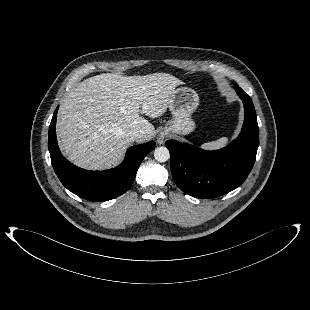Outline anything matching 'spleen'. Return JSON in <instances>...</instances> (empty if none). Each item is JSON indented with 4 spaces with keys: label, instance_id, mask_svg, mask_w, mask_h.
Returning a JSON list of instances; mask_svg holds the SVG:
<instances>
[{
    "label": "spleen",
    "instance_id": "3e777b00",
    "mask_svg": "<svg viewBox=\"0 0 310 310\" xmlns=\"http://www.w3.org/2000/svg\"><path fill=\"white\" fill-rule=\"evenodd\" d=\"M228 143L227 137H222L216 141L208 142L202 145L204 149H219L224 147Z\"/></svg>",
    "mask_w": 310,
    "mask_h": 310
}]
</instances>
